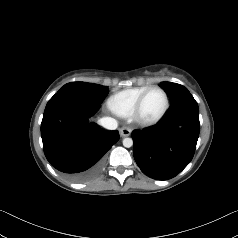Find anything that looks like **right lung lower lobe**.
Returning <instances> with one entry per match:
<instances>
[{"label":"right lung lower lobe","mask_w":238,"mask_h":238,"mask_svg":"<svg viewBox=\"0 0 238 238\" xmlns=\"http://www.w3.org/2000/svg\"><path fill=\"white\" fill-rule=\"evenodd\" d=\"M101 102L74 91L57 92L47 103L41 137L47 160L75 182L96 176L104 154L119 140L118 131H105L89 122Z\"/></svg>","instance_id":"right-lung-lower-lobe-1"}]
</instances>
